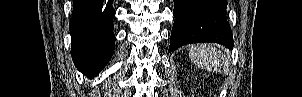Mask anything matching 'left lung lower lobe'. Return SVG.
<instances>
[{"label": "left lung lower lobe", "instance_id": "left-lung-lower-lobe-1", "mask_svg": "<svg viewBox=\"0 0 302 97\" xmlns=\"http://www.w3.org/2000/svg\"><path fill=\"white\" fill-rule=\"evenodd\" d=\"M227 0H174L175 22L170 50L200 42L233 47V36L226 19Z\"/></svg>", "mask_w": 302, "mask_h": 97}]
</instances>
